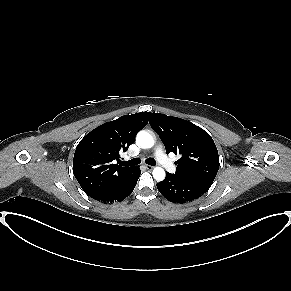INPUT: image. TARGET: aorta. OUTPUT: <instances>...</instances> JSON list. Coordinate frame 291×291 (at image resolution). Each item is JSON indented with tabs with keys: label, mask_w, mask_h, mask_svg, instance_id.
<instances>
[{
	"label": "aorta",
	"mask_w": 291,
	"mask_h": 291,
	"mask_svg": "<svg viewBox=\"0 0 291 291\" xmlns=\"http://www.w3.org/2000/svg\"><path fill=\"white\" fill-rule=\"evenodd\" d=\"M137 143L145 149L151 148L154 145V139L152 135L146 131H140L137 134ZM153 177L157 181H162L165 178V171L161 167H155L153 169Z\"/></svg>",
	"instance_id": "762f6f07"
}]
</instances>
